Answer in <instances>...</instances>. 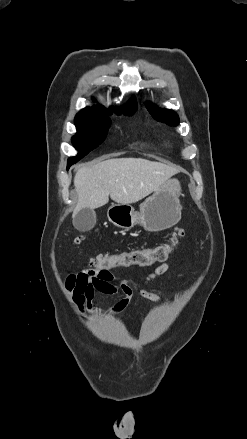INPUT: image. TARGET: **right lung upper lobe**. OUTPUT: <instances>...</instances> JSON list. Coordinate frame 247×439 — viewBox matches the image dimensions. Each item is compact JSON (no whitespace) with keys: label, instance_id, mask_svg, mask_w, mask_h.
Returning a JSON list of instances; mask_svg holds the SVG:
<instances>
[{"label":"right lung upper lobe","instance_id":"right-lung-upper-lobe-1","mask_svg":"<svg viewBox=\"0 0 247 439\" xmlns=\"http://www.w3.org/2000/svg\"><path fill=\"white\" fill-rule=\"evenodd\" d=\"M136 102L133 99L126 107L118 109V111L126 112V111H130V110H134L136 109ZM109 114H111V112H109L106 108L98 105V106H94V107H86L84 109H82L77 115L78 116H108Z\"/></svg>","mask_w":247,"mask_h":439}]
</instances>
